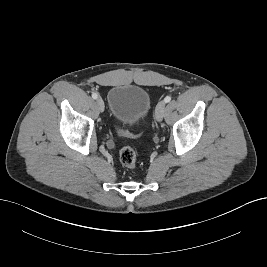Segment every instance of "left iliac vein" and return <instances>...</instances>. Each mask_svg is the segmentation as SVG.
Wrapping results in <instances>:
<instances>
[{"instance_id":"1","label":"left iliac vein","mask_w":267,"mask_h":267,"mask_svg":"<svg viewBox=\"0 0 267 267\" xmlns=\"http://www.w3.org/2000/svg\"><path fill=\"white\" fill-rule=\"evenodd\" d=\"M165 113V102L161 101L157 104L156 109H155V119L157 121H162Z\"/></svg>"}]
</instances>
